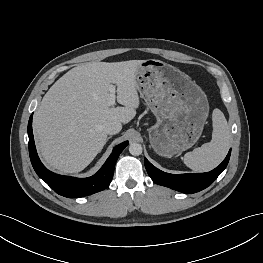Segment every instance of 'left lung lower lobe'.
<instances>
[{
	"label": "left lung lower lobe",
	"mask_w": 263,
	"mask_h": 263,
	"mask_svg": "<svg viewBox=\"0 0 263 263\" xmlns=\"http://www.w3.org/2000/svg\"><path fill=\"white\" fill-rule=\"evenodd\" d=\"M230 154L231 150L218 167L206 173L169 174L157 169L146 158L144 164L149 176L155 183L182 193H196L207 188L217 179L226 168Z\"/></svg>",
	"instance_id": "0a47b994"
}]
</instances>
